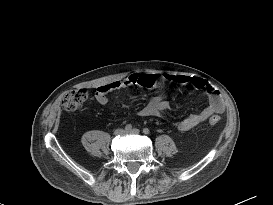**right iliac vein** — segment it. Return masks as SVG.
<instances>
[{
  "mask_svg": "<svg viewBox=\"0 0 273 205\" xmlns=\"http://www.w3.org/2000/svg\"><path fill=\"white\" fill-rule=\"evenodd\" d=\"M125 133V130L122 128H118L114 131L115 135H123Z\"/></svg>",
  "mask_w": 273,
  "mask_h": 205,
  "instance_id": "right-iliac-vein-1",
  "label": "right iliac vein"
}]
</instances>
